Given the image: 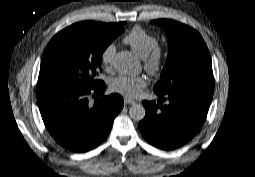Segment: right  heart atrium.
Listing matches in <instances>:
<instances>
[{"instance_id": "obj_1", "label": "right heart atrium", "mask_w": 255, "mask_h": 177, "mask_svg": "<svg viewBox=\"0 0 255 177\" xmlns=\"http://www.w3.org/2000/svg\"><path fill=\"white\" fill-rule=\"evenodd\" d=\"M116 53V46L114 43L107 44L101 52V62L105 67L112 65Z\"/></svg>"}]
</instances>
